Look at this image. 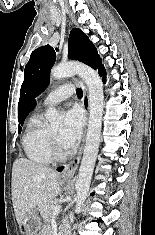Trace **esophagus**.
<instances>
[{
  "label": "esophagus",
  "mask_w": 155,
  "mask_h": 235,
  "mask_svg": "<svg viewBox=\"0 0 155 235\" xmlns=\"http://www.w3.org/2000/svg\"><path fill=\"white\" fill-rule=\"evenodd\" d=\"M78 80H79V78H78ZM82 106H83V109L85 111L86 119H87V122H86V125H85V128H84V133H83L82 145L79 148V151H78L77 155L75 156V158L72 161H70L68 164L65 165V168H64V170H63V172L60 176V179L63 182L71 181V179H72V177H73V175H74V173H75V171L78 167V164L80 162L81 155H82V152H83L84 141H85L86 130H87V124H88V118H89V106H90L89 94H88L87 88L85 86H83Z\"/></svg>",
  "instance_id": "34e87169"
}]
</instances>
